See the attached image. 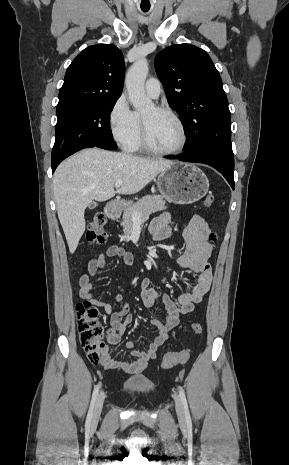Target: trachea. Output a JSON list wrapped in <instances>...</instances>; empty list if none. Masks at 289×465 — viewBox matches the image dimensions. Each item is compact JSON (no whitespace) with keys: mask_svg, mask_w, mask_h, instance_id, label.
Instances as JSON below:
<instances>
[{"mask_svg":"<svg viewBox=\"0 0 289 465\" xmlns=\"http://www.w3.org/2000/svg\"><path fill=\"white\" fill-rule=\"evenodd\" d=\"M144 12H147L148 10H143Z\"/></svg>","mask_w":289,"mask_h":465,"instance_id":"trachea-1","label":"trachea"}]
</instances>
